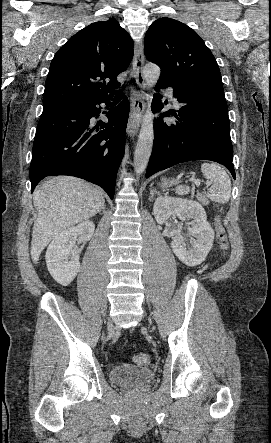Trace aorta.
Instances as JSON below:
<instances>
[{
    "label": "aorta",
    "instance_id": "aorta-1",
    "mask_svg": "<svg viewBox=\"0 0 271 443\" xmlns=\"http://www.w3.org/2000/svg\"><path fill=\"white\" fill-rule=\"evenodd\" d=\"M160 74L161 70L159 66H156V64H147L144 68L145 84H147V86H155L160 78ZM150 104L151 102L148 100L147 110L143 118L136 150L134 152L133 168L137 176L145 172L153 148L154 130Z\"/></svg>",
    "mask_w": 271,
    "mask_h": 443
}]
</instances>
